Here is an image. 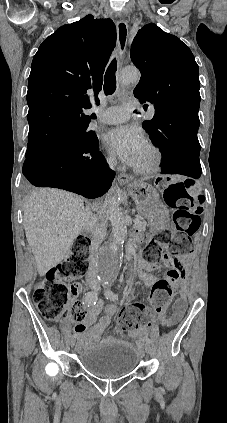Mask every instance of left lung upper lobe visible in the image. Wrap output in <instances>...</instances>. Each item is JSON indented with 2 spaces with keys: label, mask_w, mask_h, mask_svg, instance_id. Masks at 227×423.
Segmentation results:
<instances>
[{
  "label": "left lung upper lobe",
  "mask_w": 227,
  "mask_h": 423,
  "mask_svg": "<svg viewBox=\"0 0 227 423\" xmlns=\"http://www.w3.org/2000/svg\"><path fill=\"white\" fill-rule=\"evenodd\" d=\"M131 59L141 72L134 96L155 108L153 119L142 125L152 141L187 122L200 123L198 65L178 37L145 25L134 38Z\"/></svg>",
  "instance_id": "obj_1"
}]
</instances>
